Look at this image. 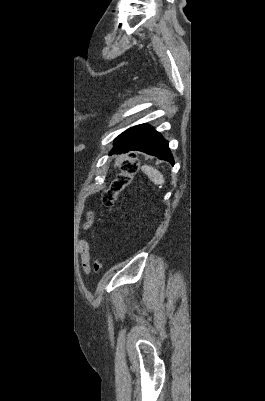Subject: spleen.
I'll list each match as a JSON object with an SVG mask.
<instances>
[{"label": "spleen", "mask_w": 265, "mask_h": 401, "mask_svg": "<svg viewBox=\"0 0 265 401\" xmlns=\"http://www.w3.org/2000/svg\"><path fill=\"white\" fill-rule=\"evenodd\" d=\"M142 170H144L145 174H148L150 180L154 182V184H163L165 182V178H163L162 172L154 168V166H148V164H143L141 166Z\"/></svg>", "instance_id": "obj_1"}]
</instances>
